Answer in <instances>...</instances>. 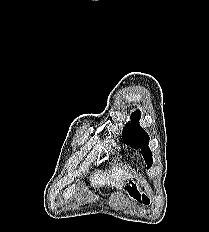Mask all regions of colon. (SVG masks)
<instances>
[{
    "label": "colon",
    "instance_id": "colon-1",
    "mask_svg": "<svg viewBox=\"0 0 209 232\" xmlns=\"http://www.w3.org/2000/svg\"><path fill=\"white\" fill-rule=\"evenodd\" d=\"M126 190L130 194V196L136 201L146 205L149 204V196L146 193L141 192L135 184L128 185L126 187Z\"/></svg>",
    "mask_w": 209,
    "mask_h": 232
}]
</instances>
